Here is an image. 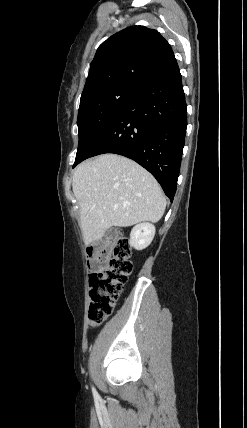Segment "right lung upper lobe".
<instances>
[{
    "label": "right lung upper lobe",
    "instance_id": "cb5924a9",
    "mask_svg": "<svg viewBox=\"0 0 247 428\" xmlns=\"http://www.w3.org/2000/svg\"><path fill=\"white\" fill-rule=\"evenodd\" d=\"M176 63L171 46L158 31L126 28L98 47L82 95L113 86L142 90Z\"/></svg>",
    "mask_w": 247,
    "mask_h": 428
}]
</instances>
